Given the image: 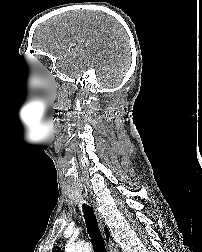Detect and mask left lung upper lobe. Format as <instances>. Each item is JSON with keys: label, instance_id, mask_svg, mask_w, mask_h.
<instances>
[{"label": "left lung upper lobe", "instance_id": "1", "mask_svg": "<svg viewBox=\"0 0 202 252\" xmlns=\"http://www.w3.org/2000/svg\"><path fill=\"white\" fill-rule=\"evenodd\" d=\"M53 252H59L58 250H54Z\"/></svg>", "mask_w": 202, "mask_h": 252}]
</instances>
